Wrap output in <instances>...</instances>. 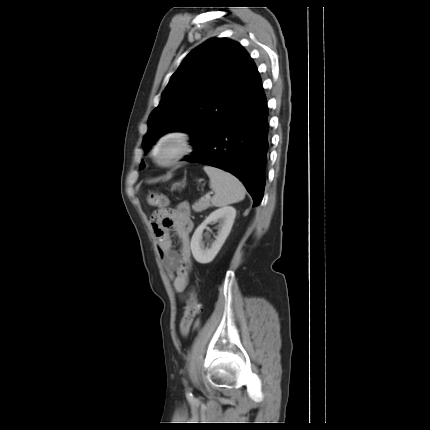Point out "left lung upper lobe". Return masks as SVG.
Returning <instances> with one entry per match:
<instances>
[{
    "label": "left lung upper lobe",
    "mask_w": 430,
    "mask_h": 430,
    "mask_svg": "<svg viewBox=\"0 0 430 430\" xmlns=\"http://www.w3.org/2000/svg\"><path fill=\"white\" fill-rule=\"evenodd\" d=\"M257 74L253 60L236 42L213 38L198 46L171 76L159 106L151 113L143 149L168 131L187 132L193 142L202 127L219 123L256 90Z\"/></svg>",
    "instance_id": "1"
}]
</instances>
